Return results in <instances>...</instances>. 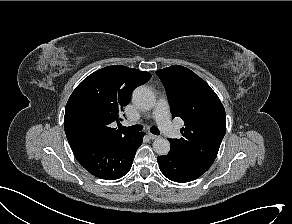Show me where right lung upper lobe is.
<instances>
[{"mask_svg":"<svg viewBox=\"0 0 292 224\" xmlns=\"http://www.w3.org/2000/svg\"><path fill=\"white\" fill-rule=\"evenodd\" d=\"M151 78L146 71L114 65L85 78L71 94L65 108L64 128L69 143L122 141L135 135L117 128L120 113L133 90Z\"/></svg>","mask_w":292,"mask_h":224,"instance_id":"cb5924a9","label":"right lung upper lobe"}]
</instances>
